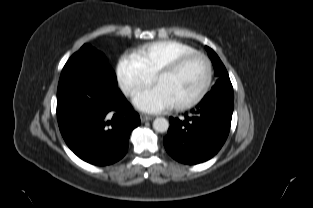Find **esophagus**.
I'll return each mask as SVG.
<instances>
[{
  "label": "esophagus",
  "instance_id": "1",
  "mask_svg": "<svg viewBox=\"0 0 313 208\" xmlns=\"http://www.w3.org/2000/svg\"><path fill=\"white\" fill-rule=\"evenodd\" d=\"M141 122H146L152 120V117L149 115L141 114L140 115Z\"/></svg>",
  "mask_w": 313,
  "mask_h": 208
}]
</instances>
